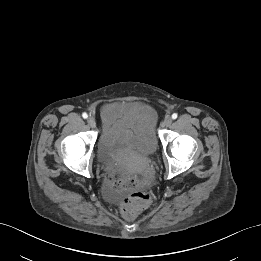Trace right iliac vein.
I'll list each match as a JSON object with an SVG mask.
<instances>
[{
	"mask_svg": "<svg viewBox=\"0 0 261 261\" xmlns=\"http://www.w3.org/2000/svg\"><path fill=\"white\" fill-rule=\"evenodd\" d=\"M87 123L91 128H94L96 126V121L94 117H89L87 119Z\"/></svg>",
	"mask_w": 261,
	"mask_h": 261,
	"instance_id": "1",
	"label": "right iliac vein"
}]
</instances>
